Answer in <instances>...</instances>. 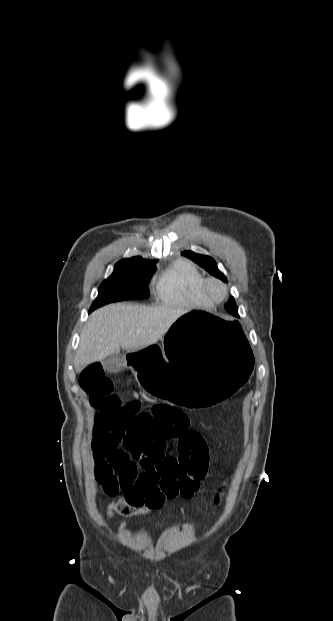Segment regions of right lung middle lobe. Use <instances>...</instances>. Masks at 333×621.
<instances>
[{"mask_svg": "<svg viewBox=\"0 0 333 621\" xmlns=\"http://www.w3.org/2000/svg\"><path fill=\"white\" fill-rule=\"evenodd\" d=\"M155 270L156 267L116 264L112 275L99 287L89 313L110 302L148 298V281Z\"/></svg>", "mask_w": 333, "mask_h": 621, "instance_id": "obj_1", "label": "right lung middle lobe"}]
</instances>
